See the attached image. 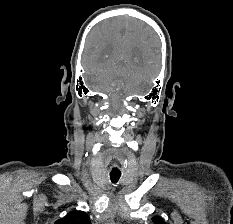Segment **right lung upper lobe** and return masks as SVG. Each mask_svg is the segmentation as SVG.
Here are the masks:
<instances>
[{"label":"right lung upper lobe","mask_w":233,"mask_h":224,"mask_svg":"<svg viewBox=\"0 0 233 224\" xmlns=\"http://www.w3.org/2000/svg\"><path fill=\"white\" fill-rule=\"evenodd\" d=\"M55 224H91V222L87 213L71 211L64 218L57 220Z\"/></svg>","instance_id":"right-lung-upper-lobe-1"}]
</instances>
